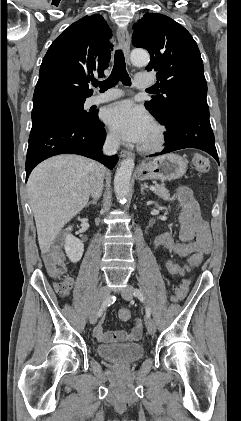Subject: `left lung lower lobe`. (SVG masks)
<instances>
[{"label": "left lung lower lobe", "instance_id": "1", "mask_svg": "<svg viewBox=\"0 0 241 421\" xmlns=\"http://www.w3.org/2000/svg\"><path fill=\"white\" fill-rule=\"evenodd\" d=\"M167 141L161 155L184 148H197L209 153L219 163L207 104H192L177 116L176 125L165 134Z\"/></svg>", "mask_w": 241, "mask_h": 421}]
</instances>
